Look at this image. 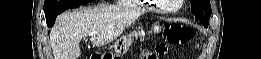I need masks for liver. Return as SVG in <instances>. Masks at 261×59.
I'll use <instances>...</instances> for the list:
<instances>
[{"mask_svg": "<svg viewBox=\"0 0 261 59\" xmlns=\"http://www.w3.org/2000/svg\"><path fill=\"white\" fill-rule=\"evenodd\" d=\"M138 16L104 5L63 13L50 32L54 59H78L84 36H89L96 46L112 42Z\"/></svg>", "mask_w": 261, "mask_h": 59, "instance_id": "6515ba94", "label": "liver"}]
</instances>
